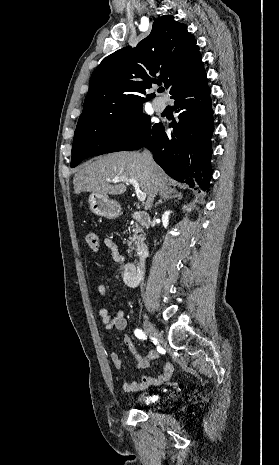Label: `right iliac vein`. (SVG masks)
<instances>
[{
    "mask_svg": "<svg viewBox=\"0 0 279 465\" xmlns=\"http://www.w3.org/2000/svg\"><path fill=\"white\" fill-rule=\"evenodd\" d=\"M143 325H144V329L146 331V333L156 339V340H159L160 339V334L158 332V330L154 327V325L146 318H144L143 320Z\"/></svg>",
    "mask_w": 279,
    "mask_h": 465,
    "instance_id": "obj_1",
    "label": "right iliac vein"
}]
</instances>
